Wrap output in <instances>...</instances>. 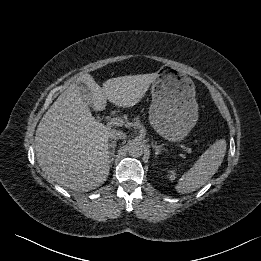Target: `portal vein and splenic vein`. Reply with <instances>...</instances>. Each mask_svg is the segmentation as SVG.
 Wrapping results in <instances>:
<instances>
[{"label":"portal vein and splenic vein","instance_id":"1","mask_svg":"<svg viewBox=\"0 0 261 261\" xmlns=\"http://www.w3.org/2000/svg\"><path fill=\"white\" fill-rule=\"evenodd\" d=\"M110 123L114 126H123L124 120L119 117H116L112 118ZM181 148H183L187 153H192V149L187 146L181 145Z\"/></svg>","mask_w":261,"mask_h":261}]
</instances>
